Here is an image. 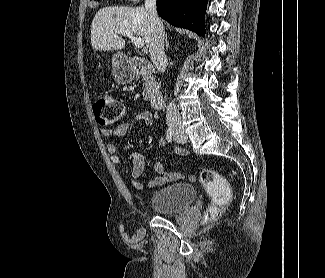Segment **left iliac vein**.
Returning <instances> with one entry per match:
<instances>
[{"mask_svg":"<svg viewBox=\"0 0 325 278\" xmlns=\"http://www.w3.org/2000/svg\"><path fill=\"white\" fill-rule=\"evenodd\" d=\"M187 135L182 131L181 134H175L174 140L177 143H186L187 142Z\"/></svg>","mask_w":325,"mask_h":278,"instance_id":"4c4485c4","label":"left iliac vein"}]
</instances>
